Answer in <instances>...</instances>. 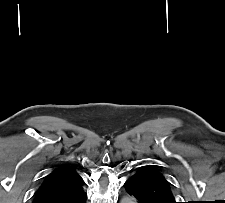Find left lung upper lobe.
Listing matches in <instances>:
<instances>
[{
  "instance_id": "1",
  "label": "left lung upper lobe",
  "mask_w": 225,
  "mask_h": 203,
  "mask_svg": "<svg viewBox=\"0 0 225 203\" xmlns=\"http://www.w3.org/2000/svg\"><path fill=\"white\" fill-rule=\"evenodd\" d=\"M129 180L149 201L154 203H176L170 182L150 166L138 168Z\"/></svg>"
}]
</instances>
